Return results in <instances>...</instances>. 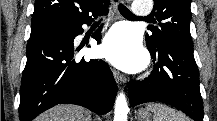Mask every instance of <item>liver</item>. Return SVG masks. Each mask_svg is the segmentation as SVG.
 Segmentation results:
<instances>
[{
    "mask_svg": "<svg viewBox=\"0 0 217 121\" xmlns=\"http://www.w3.org/2000/svg\"><path fill=\"white\" fill-rule=\"evenodd\" d=\"M35 121H91V115L81 106L66 104L51 108Z\"/></svg>",
    "mask_w": 217,
    "mask_h": 121,
    "instance_id": "1",
    "label": "liver"
}]
</instances>
